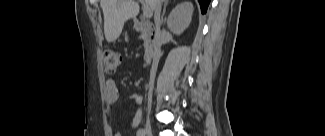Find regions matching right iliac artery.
Masks as SVG:
<instances>
[{"label":"right iliac artery","instance_id":"obj_1","mask_svg":"<svg viewBox=\"0 0 325 136\" xmlns=\"http://www.w3.org/2000/svg\"><path fill=\"white\" fill-rule=\"evenodd\" d=\"M145 129H139L138 131H137V136H145Z\"/></svg>","mask_w":325,"mask_h":136}]
</instances>
